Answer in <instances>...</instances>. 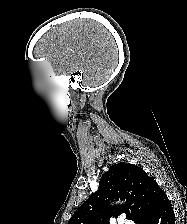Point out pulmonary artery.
<instances>
[{
    "instance_id": "1",
    "label": "pulmonary artery",
    "mask_w": 187,
    "mask_h": 224,
    "mask_svg": "<svg viewBox=\"0 0 187 224\" xmlns=\"http://www.w3.org/2000/svg\"><path fill=\"white\" fill-rule=\"evenodd\" d=\"M120 224H134V222L131 220H121Z\"/></svg>"
}]
</instances>
